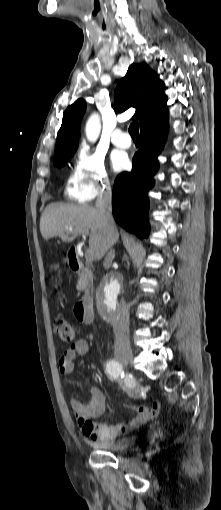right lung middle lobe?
Returning a JSON list of instances; mask_svg holds the SVG:
<instances>
[{"instance_id":"obj_1","label":"right lung middle lobe","mask_w":221,"mask_h":510,"mask_svg":"<svg viewBox=\"0 0 221 510\" xmlns=\"http://www.w3.org/2000/svg\"><path fill=\"white\" fill-rule=\"evenodd\" d=\"M77 148L70 149L56 157H54V165H58L59 167L64 166L74 155Z\"/></svg>"}]
</instances>
